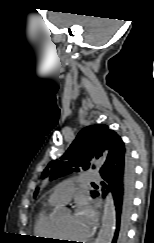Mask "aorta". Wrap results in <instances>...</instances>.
I'll list each match as a JSON object with an SVG mask.
<instances>
[{
    "instance_id": "762f6f07",
    "label": "aorta",
    "mask_w": 154,
    "mask_h": 243,
    "mask_svg": "<svg viewBox=\"0 0 154 243\" xmlns=\"http://www.w3.org/2000/svg\"><path fill=\"white\" fill-rule=\"evenodd\" d=\"M115 211L112 196L109 194L105 199L102 216V224L95 243H111L114 235Z\"/></svg>"
}]
</instances>
